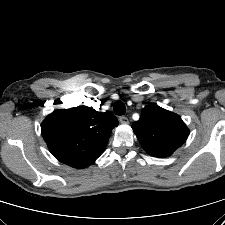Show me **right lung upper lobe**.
<instances>
[{"mask_svg":"<svg viewBox=\"0 0 225 225\" xmlns=\"http://www.w3.org/2000/svg\"><path fill=\"white\" fill-rule=\"evenodd\" d=\"M116 126L118 120L111 112L78 106L52 112L43 121L41 133L60 162L80 169L94 163L103 153Z\"/></svg>","mask_w":225,"mask_h":225,"instance_id":"right-lung-upper-lobe-1","label":"right lung upper lobe"}]
</instances>
